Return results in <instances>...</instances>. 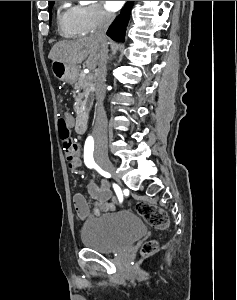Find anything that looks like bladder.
<instances>
[{"label": "bladder", "mask_w": 237, "mask_h": 300, "mask_svg": "<svg viewBox=\"0 0 237 300\" xmlns=\"http://www.w3.org/2000/svg\"><path fill=\"white\" fill-rule=\"evenodd\" d=\"M144 232L142 220L135 213L123 210L89 218L82 225L80 238L89 249L114 253L130 247Z\"/></svg>", "instance_id": "obj_1"}]
</instances>
